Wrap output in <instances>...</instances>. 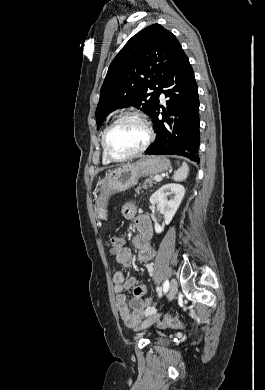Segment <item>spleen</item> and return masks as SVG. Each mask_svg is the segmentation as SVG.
<instances>
[{
    "label": "spleen",
    "instance_id": "1",
    "mask_svg": "<svg viewBox=\"0 0 265 390\" xmlns=\"http://www.w3.org/2000/svg\"><path fill=\"white\" fill-rule=\"evenodd\" d=\"M189 174V167L187 163L183 162L182 166L174 173L173 180L183 181Z\"/></svg>",
    "mask_w": 265,
    "mask_h": 390
}]
</instances>
